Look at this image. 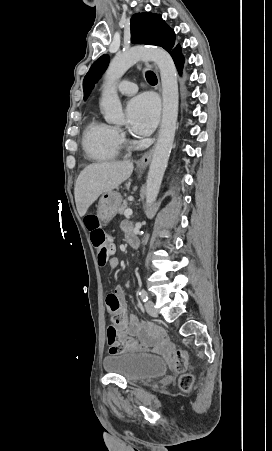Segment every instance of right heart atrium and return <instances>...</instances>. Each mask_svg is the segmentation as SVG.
Returning <instances> with one entry per match:
<instances>
[{"instance_id":"d8ad5b80","label":"right heart atrium","mask_w":272,"mask_h":451,"mask_svg":"<svg viewBox=\"0 0 272 451\" xmlns=\"http://www.w3.org/2000/svg\"><path fill=\"white\" fill-rule=\"evenodd\" d=\"M115 132H116V135L118 138L122 137V133H121L120 129H115Z\"/></svg>"}]
</instances>
